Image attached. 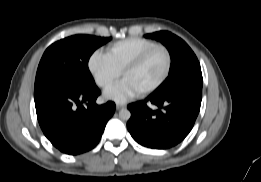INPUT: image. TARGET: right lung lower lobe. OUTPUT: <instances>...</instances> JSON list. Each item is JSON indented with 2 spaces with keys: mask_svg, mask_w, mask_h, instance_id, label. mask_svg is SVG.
Returning <instances> with one entry per match:
<instances>
[{
  "mask_svg": "<svg viewBox=\"0 0 261 182\" xmlns=\"http://www.w3.org/2000/svg\"><path fill=\"white\" fill-rule=\"evenodd\" d=\"M100 90L80 92L63 82H52L34 89L40 127L47 139L61 152L77 155L94 148L113 116L115 104L97 105Z\"/></svg>",
  "mask_w": 261,
  "mask_h": 182,
  "instance_id": "98d812e1",
  "label": "right lung lower lobe"
}]
</instances>
